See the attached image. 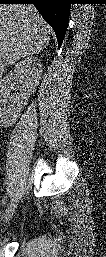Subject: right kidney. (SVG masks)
<instances>
[{
	"mask_svg": "<svg viewBox=\"0 0 106 257\" xmlns=\"http://www.w3.org/2000/svg\"><path fill=\"white\" fill-rule=\"evenodd\" d=\"M42 73V65L36 57H26L24 60L17 63L12 71L6 74L0 81V104L2 111L14 116L26 105L28 96L39 84L40 75ZM15 82L20 84V93L11 100L10 88L15 85Z\"/></svg>",
	"mask_w": 106,
	"mask_h": 257,
	"instance_id": "obj_1",
	"label": "right kidney"
}]
</instances>
